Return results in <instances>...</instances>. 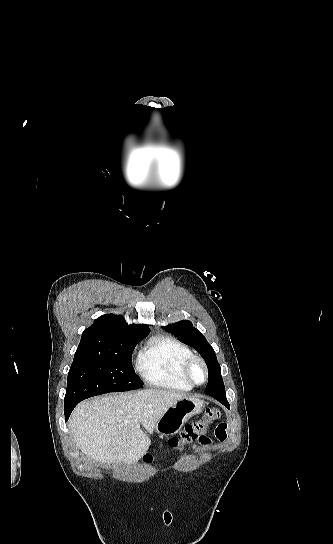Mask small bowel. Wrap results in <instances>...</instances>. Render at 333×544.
Returning <instances> with one entry per match:
<instances>
[{"label":"small bowel","mask_w":333,"mask_h":544,"mask_svg":"<svg viewBox=\"0 0 333 544\" xmlns=\"http://www.w3.org/2000/svg\"><path fill=\"white\" fill-rule=\"evenodd\" d=\"M215 435L220 441H224L228 436V426L226 423H220L215 429ZM201 445L206 446L210 444L209 438L202 436L199 439Z\"/></svg>","instance_id":"small-bowel-1"}]
</instances>
